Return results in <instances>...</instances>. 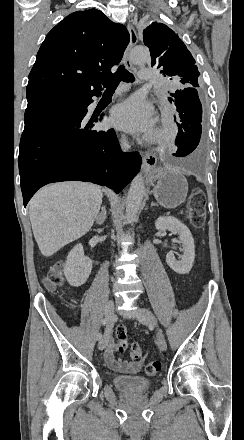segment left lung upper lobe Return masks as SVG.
Instances as JSON below:
<instances>
[{
    "label": "left lung upper lobe",
    "instance_id": "obj_1",
    "mask_svg": "<svg viewBox=\"0 0 244 440\" xmlns=\"http://www.w3.org/2000/svg\"><path fill=\"white\" fill-rule=\"evenodd\" d=\"M152 66L164 77L178 83L199 87L200 75L195 60L179 36L165 24L153 22L143 31Z\"/></svg>",
    "mask_w": 244,
    "mask_h": 440
}]
</instances>
